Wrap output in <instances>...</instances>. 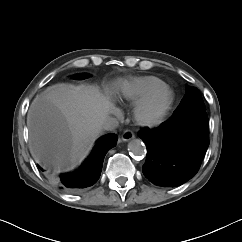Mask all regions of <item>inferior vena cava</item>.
Segmentation results:
<instances>
[{
  "instance_id": "inferior-vena-cava-1",
  "label": "inferior vena cava",
  "mask_w": 242,
  "mask_h": 242,
  "mask_svg": "<svg viewBox=\"0 0 242 242\" xmlns=\"http://www.w3.org/2000/svg\"><path fill=\"white\" fill-rule=\"evenodd\" d=\"M118 125L119 122L116 118L107 116L102 123V128L107 131H112L116 129Z\"/></svg>"
}]
</instances>
